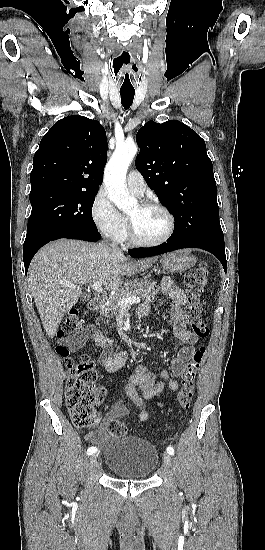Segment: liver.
<instances>
[{"mask_svg":"<svg viewBox=\"0 0 265 550\" xmlns=\"http://www.w3.org/2000/svg\"><path fill=\"white\" fill-rule=\"evenodd\" d=\"M155 259L131 261L103 243L60 239L40 249L33 258L28 281L42 325L53 338L64 315L82 295V285L100 280L119 291L123 276L149 269Z\"/></svg>","mask_w":265,"mask_h":550,"instance_id":"6515ba94","label":"liver"}]
</instances>
